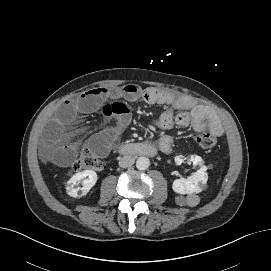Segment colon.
<instances>
[{"label": "colon", "instance_id": "5ec220e1", "mask_svg": "<svg viewBox=\"0 0 271 271\" xmlns=\"http://www.w3.org/2000/svg\"><path fill=\"white\" fill-rule=\"evenodd\" d=\"M195 142L204 150H210L217 144L216 136L207 131H201L195 136ZM75 171L82 170H101L104 167L103 159L90 150H83L80 156L75 160L72 165Z\"/></svg>", "mask_w": 271, "mask_h": 271}]
</instances>
